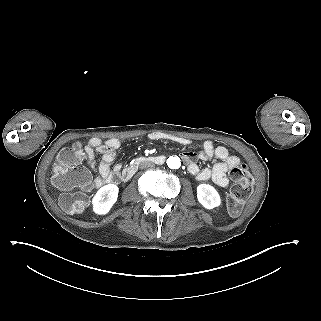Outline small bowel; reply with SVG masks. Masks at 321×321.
Returning a JSON list of instances; mask_svg holds the SVG:
<instances>
[{
    "mask_svg": "<svg viewBox=\"0 0 321 321\" xmlns=\"http://www.w3.org/2000/svg\"><path fill=\"white\" fill-rule=\"evenodd\" d=\"M150 140H168L181 145H189L188 139L175 135L165 134L162 132H153L148 135ZM121 146V142L116 138L102 140L98 137L91 138L85 146V159L88 167L96 173L94 186L100 188L104 184L115 181L120 172V165H114L113 161L117 149ZM100 154L101 160L96 163L95 155ZM182 158L187 163L188 172L200 182L212 180L221 187L229 186L228 171L238 165L240 160L234 155H230L227 148L223 146L215 147L211 141L204 142L201 150H187L182 154ZM215 158L217 162L212 168L201 169L196 160H209Z\"/></svg>",
    "mask_w": 321,
    "mask_h": 321,
    "instance_id": "c3829d8e",
    "label": "small bowel"
}]
</instances>
